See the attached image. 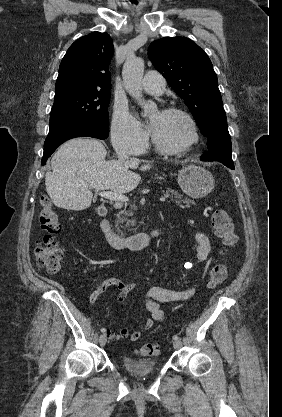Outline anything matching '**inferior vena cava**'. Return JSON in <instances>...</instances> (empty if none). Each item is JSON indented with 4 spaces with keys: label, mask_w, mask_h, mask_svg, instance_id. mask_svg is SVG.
I'll use <instances>...</instances> for the list:
<instances>
[{
    "label": "inferior vena cava",
    "mask_w": 282,
    "mask_h": 417,
    "mask_svg": "<svg viewBox=\"0 0 282 417\" xmlns=\"http://www.w3.org/2000/svg\"><path fill=\"white\" fill-rule=\"evenodd\" d=\"M117 158H121V160H127L129 158L128 152L126 150H123V148H115Z\"/></svg>",
    "instance_id": "1"
}]
</instances>
